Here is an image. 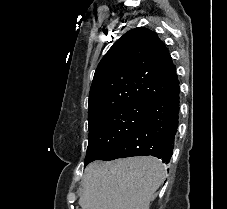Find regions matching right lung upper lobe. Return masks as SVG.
I'll use <instances>...</instances> for the list:
<instances>
[{"instance_id": "obj_1", "label": "right lung upper lobe", "mask_w": 227, "mask_h": 209, "mask_svg": "<svg viewBox=\"0 0 227 209\" xmlns=\"http://www.w3.org/2000/svg\"><path fill=\"white\" fill-rule=\"evenodd\" d=\"M173 65L166 45L144 27L125 33L100 61L89 94L88 119L102 111L101 102L125 98L148 104L170 91L166 75Z\"/></svg>"}]
</instances>
